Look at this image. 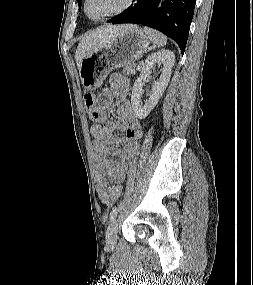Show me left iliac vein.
<instances>
[{
    "instance_id": "4c4485c4",
    "label": "left iliac vein",
    "mask_w": 253,
    "mask_h": 285,
    "mask_svg": "<svg viewBox=\"0 0 253 285\" xmlns=\"http://www.w3.org/2000/svg\"><path fill=\"white\" fill-rule=\"evenodd\" d=\"M118 220H113L106 232V245L108 248H114L117 243V233H118Z\"/></svg>"
}]
</instances>
